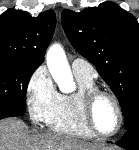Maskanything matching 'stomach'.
I'll use <instances>...</instances> for the list:
<instances>
[{
    "label": "stomach",
    "instance_id": "0dacf381",
    "mask_svg": "<svg viewBox=\"0 0 139 150\" xmlns=\"http://www.w3.org/2000/svg\"><path fill=\"white\" fill-rule=\"evenodd\" d=\"M99 150H104V149H102V148H99Z\"/></svg>",
    "mask_w": 139,
    "mask_h": 150
}]
</instances>
